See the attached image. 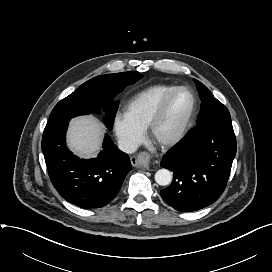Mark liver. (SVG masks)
<instances>
[{
	"instance_id": "1",
	"label": "liver",
	"mask_w": 272,
	"mask_h": 272,
	"mask_svg": "<svg viewBox=\"0 0 272 272\" xmlns=\"http://www.w3.org/2000/svg\"><path fill=\"white\" fill-rule=\"evenodd\" d=\"M102 124L93 116L72 119L67 135L69 148L84 158L96 156L101 147Z\"/></svg>"
}]
</instances>
